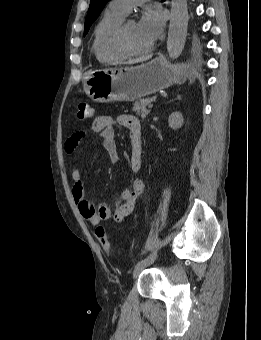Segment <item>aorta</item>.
<instances>
[{"label":"aorta","mask_w":261,"mask_h":340,"mask_svg":"<svg viewBox=\"0 0 261 340\" xmlns=\"http://www.w3.org/2000/svg\"><path fill=\"white\" fill-rule=\"evenodd\" d=\"M187 0H172L167 38V51L172 59L178 58L184 48L188 27Z\"/></svg>","instance_id":"1"}]
</instances>
